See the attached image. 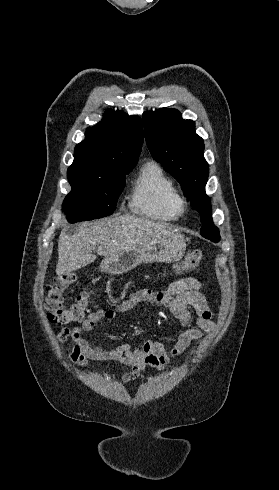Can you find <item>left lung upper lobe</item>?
Returning a JSON list of instances; mask_svg holds the SVG:
<instances>
[{
    "label": "left lung upper lobe",
    "instance_id": "1",
    "mask_svg": "<svg viewBox=\"0 0 279 490\" xmlns=\"http://www.w3.org/2000/svg\"><path fill=\"white\" fill-rule=\"evenodd\" d=\"M175 109L162 108L143 114L145 138L153 158L161 163L181 184L191 206L201 214V235L220 241L219 230L212 221L210 198L205 193L209 167L203 139L195 133L192 120H182Z\"/></svg>",
    "mask_w": 279,
    "mask_h": 490
}]
</instances>
